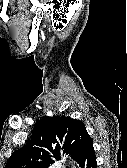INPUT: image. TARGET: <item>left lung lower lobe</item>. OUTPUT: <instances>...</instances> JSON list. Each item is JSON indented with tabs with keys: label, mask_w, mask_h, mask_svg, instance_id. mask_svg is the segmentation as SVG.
<instances>
[{
	"label": "left lung lower lobe",
	"mask_w": 127,
	"mask_h": 168,
	"mask_svg": "<svg viewBox=\"0 0 127 168\" xmlns=\"http://www.w3.org/2000/svg\"><path fill=\"white\" fill-rule=\"evenodd\" d=\"M76 161L79 163L81 168H96V157L93 148V142L88 137L81 145Z\"/></svg>",
	"instance_id": "0a47b994"
}]
</instances>
